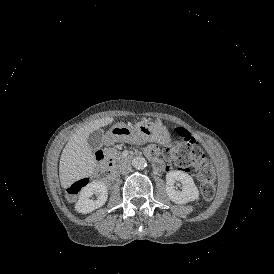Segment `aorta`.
<instances>
[{
	"label": "aorta",
	"mask_w": 274,
	"mask_h": 274,
	"mask_svg": "<svg viewBox=\"0 0 274 274\" xmlns=\"http://www.w3.org/2000/svg\"><path fill=\"white\" fill-rule=\"evenodd\" d=\"M132 166L136 169H144L147 166V161L144 157H135L132 160Z\"/></svg>",
	"instance_id": "aorta-1"
}]
</instances>
